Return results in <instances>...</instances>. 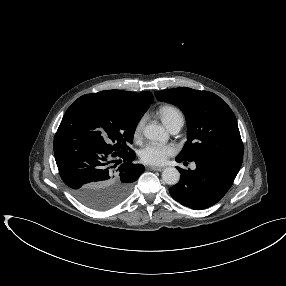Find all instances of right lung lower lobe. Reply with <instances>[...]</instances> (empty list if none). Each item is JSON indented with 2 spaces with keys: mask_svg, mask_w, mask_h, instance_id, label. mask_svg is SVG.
Here are the masks:
<instances>
[{
  "mask_svg": "<svg viewBox=\"0 0 286 286\" xmlns=\"http://www.w3.org/2000/svg\"><path fill=\"white\" fill-rule=\"evenodd\" d=\"M54 155L64 183L77 200L98 210L112 208L131 192L133 182L144 172L134 164V152L109 155L96 145L81 138L66 124H60L54 138Z\"/></svg>",
  "mask_w": 286,
  "mask_h": 286,
  "instance_id": "98d812e1",
  "label": "right lung lower lobe"
}]
</instances>
